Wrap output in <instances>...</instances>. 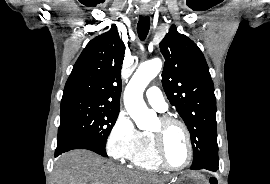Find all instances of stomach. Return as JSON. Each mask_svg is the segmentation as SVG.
Segmentation results:
<instances>
[{
	"instance_id": "stomach-1",
	"label": "stomach",
	"mask_w": 270,
	"mask_h": 184,
	"mask_svg": "<svg viewBox=\"0 0 270 184\" xmlns=\"http://www.w3.org/2000/svg\"><path fill=\"white\" fill-rule=\"evenodd\" d=\"M169 184H209L206 178L194 172H187L176 176Z\"/></svg>"
}]
</instances>
